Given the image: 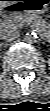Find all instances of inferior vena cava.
Wrapping results in <instances>:
<instances>
[{"instance_id":"inferior-vena-cava-1","label":"inferior vena cava","mask_w":50,"mask_h":111,"mask_svg":"<svg viewBox=\"0 0 50 111\" xmlns=\"http://www.w3.org/2000/svg\"><path fill=\"white\" fill-rule=\"evenodd\" d=\"M19 34L20 33L18 30H8L1 34V38L6 41H12L16 39L19 36Z\"/></svg>"}]
</instances>
